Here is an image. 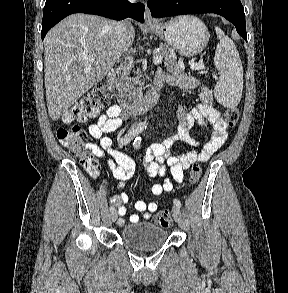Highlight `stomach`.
Masks as SVG:
<instances>
[{
    "mask_svg": "<svg viewBox=\"0 0 288 293\" xmlns=\"http://www.w3.org/2000/svg\"><path fill=\"white\" fill-rule=\"evenodd\" d=\"M149 28L179 54L187 57L200 53L210 38L206 25L190 15L172 18L165 23L158 22Z\"/></svg>",
    "mask_w": 288,
    "mask_h": 293,
    "instance_id": "0dacf381",
    "label": "stomach"
}]
</instances>
